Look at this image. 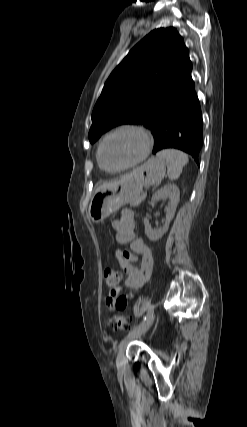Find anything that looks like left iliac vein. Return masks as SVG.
I'll use <instances>...</instances> for the list:
<instances>
[{"label": "left iliac vein", "mask_w": 247, "mask_h": 427, "mask_svg": "<svg viewBox=\"0 0 247 427\" xmlns=\"http://www.w3.org/2000/svg\"><path fill=\"white\" fill-rule=\"evenodd\" d=\"M155 320V314H152V316L140 327L133 330L131 333H129L120 343L119 345V352L117 355L116 364L119 369L123 368L125 365V349L128 345V343L131 340H134L136 338H139L142 336L148 329L152 326L153 322Z\"/></svg>", "instance_id": "left-iliac-vein-1"}]
</instances>
